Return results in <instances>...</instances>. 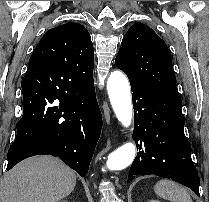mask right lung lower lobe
I'll list each match as a JSON object with an SVG mask.
<instances>
[{"label":"right lung lower lobe","instance_id":"right-lung-lower-lobe-1","mask_svg":"<svg viewBox=\"0 0 209 202\" xmlns=\"http://www.w3.org/2000/svg\"><path fill=\"white\" fill-rule=\"evenodd\" d=\"M21 87L23 115L8 150L7 170L25 158L50 154L86 176L102 127L94 83L65 87L48 71L28 68Z\"/></svg>","mask_w":209,"mask_h":202}]
</instances>
